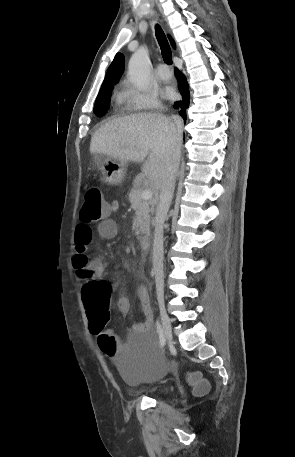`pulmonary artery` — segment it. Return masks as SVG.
Wrapping results in <instances>:
<instances>
[{
    "label": "pulmonary artery",
    "mask_w": 295,
    "mask_h": 457,
    "mask_svg": "<svg viewBox=\"0 0 295 457\" xmlns=\"http://www.w3.org/2000/svg\"><path fill=\"white\" fill-rule=\"evenodd\" d=\"M156 75L158 79L162 81H167L171 78V73L164 64L158 65V67L156 68Z\"/></svg>",
    "instance_id": "1"
}]
</instances>
